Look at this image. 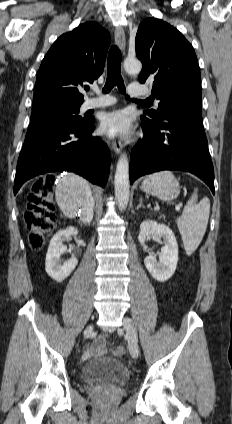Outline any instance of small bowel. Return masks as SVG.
Masks as SVG:
<instances>
[{"label":"small bowel","mask_w":232,"mask_h":424,"mask_svg":"<svg viewBox=\"0 0 232 424\" xmlns=\"http://www.w3.org/2000/svg\"><path fill=\"white\" fill-rule=\"evenodd\" d=\"M107 350V337L105 335L98 336L91 346L85 352L86 357L98 356Z\"/></svg>","instance_id":"small-bowel-1"}]
</instances>
